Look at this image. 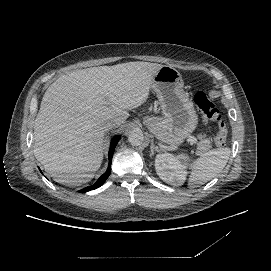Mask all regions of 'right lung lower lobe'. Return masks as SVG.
Returning a JSON list of instances; mask_svg holds the SVG:
<instances>
[{"instance_id":"1","label":"right lung lower lobe","mask_w":271,"mask_h":271,"mask_svg":"<svg viewBox=\"0 0 271 271\" xmlns=\"http://www.w3.org/2000/svg\"><path fill=\"white\" fill-rule=\"evenodd\" d=\"M119 140H120V136H116L111 141V146H110V150H109V166H108L107 171L97 180V182L94 185L82 189L81 192H87L92 189H96V188L100 187L106 181V179L108 178V176L111 173L112 157H113L115 147H116Z\"/></svg>"}]
</instances>
